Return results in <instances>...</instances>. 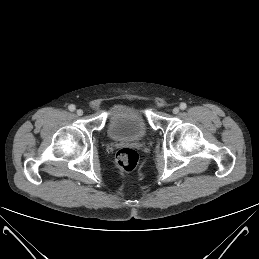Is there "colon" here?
<instances>
[{
    "label": "colon",
    "instance_id": "obj_1",
    "mask_svg": "<svg viewBox=\"0 0 259 259\" xmlns=\"http://www.w3.org/2000/svg\"><path fill=\"white\" fill-rule=\"evenodd\" d=\"M138 153L131 148H122L116 154V162L119 168L125 172H131L138 163Z\"/></svg>",
    "mask_w": 259,
    "mask_h": 259
}]
</instances>
